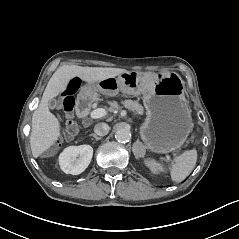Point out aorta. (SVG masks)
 Returning <instances> with one entry per match:
<instances>
[{
    "mask_svg": "<svg viewBox=\"0 0 239 239\" xmlns=\"http://www.w3.org/2000/svg\"><path fill=\"white\" fill-rule=\"evenodd\" d=\"M115 139L120 143H127L131 139V132L127 128H120L115 132Z\"/></svg>",
    "mask_w": 239,
    "mask_h": 239,
    "instance_id": "aorta-1",
    "label": "aorta"
}]
</instances>
